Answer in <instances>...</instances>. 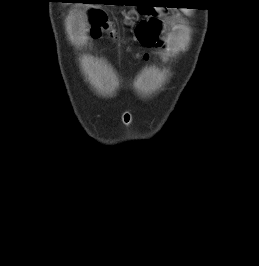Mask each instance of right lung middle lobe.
Returning <instances> with one entry per match:
<instances>
[{
    "label": "right lung middle lobe",
    "instance_id": "obj_1",
    "mask_svg": "<svg viewBox=\"0 0 259 266\" xmlns=\"http://www.w3.org/2000/svg\"><path fill=\"white\" fill-rule=\"evenodd\" d=\"M89 2L98 3V0H90Z\"/></svg>",
    "mask_w": 259,
    "mask_h": 266
}]
</instances>
